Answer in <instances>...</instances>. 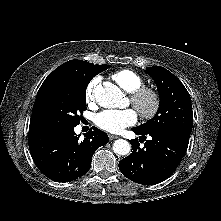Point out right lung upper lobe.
Listing matches in <instances>:
<instances>
[{
  "label": "right lung upper lobe",
  "mask_w": 221,
  "mask_h": 221,
  "mask_svg": "<svg viewBox=\"0 0 221 221\" xmlns=\"http://www.w3.org/2000/svg\"><path fill=\"white\" fill-rule=\"evenodd\" d=\"M99 65H94L92 63L82 61V60H70L58 68H56L49 76L44 80L43 84L41 85L36 99L39 98L41 93L44 89L52 84L53 82L67 78V77H84L87 76L92 69L97 68ZM36 101V100H35ZM33 132V131H30Z\"/></svg>",
  "instance_id": "obj_1"
}]
</instances>
